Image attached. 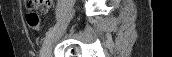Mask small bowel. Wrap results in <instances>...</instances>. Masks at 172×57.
I'll return each instance as SVG.
<instances>
[{"mask_svg": "<svg viewBox=\"0 0 172 57\" xmlns=\"http://www.w3.org/2000/svg\"><path fill=\"white\" fill-rule=\"evenodd\" d=\"M53 1L52 0H45L42 4L38 5V10L41 13H47L50 7L52 6ZM27 6L29 7V3H27Z\"/></svg>", "mask_w": 172, "mask_h": 57, "instance_id": "obj_1", "label": "small bowel"}]
</instances>
